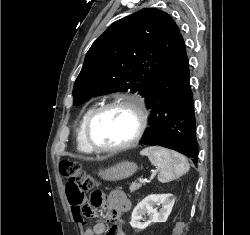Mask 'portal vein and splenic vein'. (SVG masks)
I'll return each instance as SVG.
<instances>
[{
	"label": "portal vein and splenic vein",
	"instance_id": "18ae733b",
	"mask_svg": "<svg viewBox=\"0 0 250 235\" xmlns=\"http://www.w3.org/2000/svg\"><path fill=\"white\" fill-rule=\"evenodd\" d=\"M145 181H147V179L139 178V182H140V183H143V182H145Z\"/></svg>",
	"mask_w": 250,
	"mask_h": 235
}]
</instances>
